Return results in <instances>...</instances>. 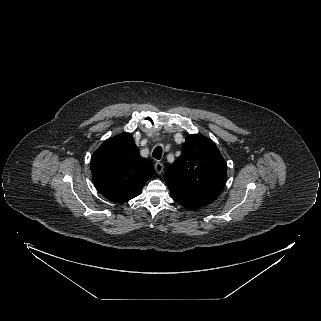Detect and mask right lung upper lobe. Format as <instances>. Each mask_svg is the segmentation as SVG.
Here are the masks:
<instances>
[{
  "instance_id": "right-lung-upper-lobe-1",
  "label": "right lung upper lobe",
  "mask_w": 321,
  "mask_h": 321,
  "mask_svg": "<svg viewBox=\"0 0 321 321\" xmlns=\"http://www.w3.org/2000/svg\"><path fill=\"white\" fill-rule=\"evenodd\" d=\"M91 172L95 187L103 196L123 203L141 192L154 168L139 155L132 135L124 132L102 143L92 156Z\"/></svg>"
}]
</instances>
